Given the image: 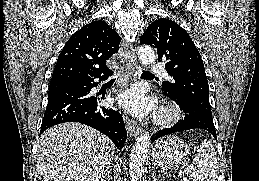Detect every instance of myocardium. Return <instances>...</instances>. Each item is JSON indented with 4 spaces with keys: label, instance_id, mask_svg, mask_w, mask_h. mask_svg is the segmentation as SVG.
<instances>
[{
    "label": "myocardium",
    "instance_id": "1",
    "mask_svg": "<svg viewBox=\"0 0 259 181\" xmlns=\"http://www.w3.org/2000/svg\"><path fill=\"white\" fill-rule=\"evenodd\" d=\"M181 117V110L174 103H165L155 115V123L161 126H170L176 123Z\"/></svg>",
    "mask_w": 259,
    "mask_h": 181
}]
</instances>
